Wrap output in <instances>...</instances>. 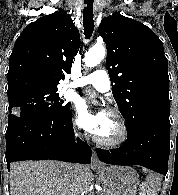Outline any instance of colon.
<instances>
[{"label": "colon", "mask_w": 178, "mask_h": 195, "mask_svg": "<svg viewBox=\"0 0 178 195\" xmlns=\"http://www.w3.org/2000/svg\"><path fill=\"white\" fill-rule=\"evenodd\" d=\"M141 195H154V193L150 188L144 187L141 191Z\"/></svg>", "instance_id": "1"}]
</instances>
